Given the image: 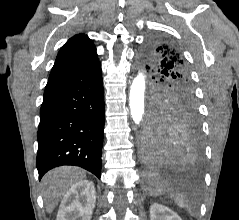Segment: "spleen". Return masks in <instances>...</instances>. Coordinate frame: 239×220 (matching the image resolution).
Returning <instances> with one entry per match:
<instances>
[{"instance_id": "obj_1", "label": "spleen", "mask_w": 239, "mask_h": 220, "mask_svg": "<svg viewBox=\"0 0 239 220\" xmlns=\"http://www.w3.org/2000/svg\"><path fill=\"white\" fill-rule=\"evenodd\" d=\"M175 202L177 203L178 206L185 207V202L183 199L181 198L175 199Z\"/></svg>"}]
</instances>
